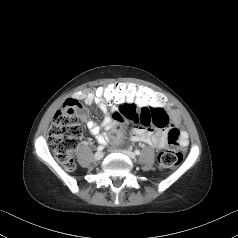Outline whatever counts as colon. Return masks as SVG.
<instances>
[{"label":"colon","instance_id":"obj_1","mask_svg":"<svg viewBox=\"0 0 238 238\" xmlns=\"http://www.w3.org/2000/svg\"><path fill=\"white\" fill-rule=\"evenodd\" d=\"M96 96L103 103L111 105L118 103L126 106L133 104L141 107V114L135 115L130 108L123 107L119 113L115 112L113 116L121 119L122 116L130 118L145 126L155 125L150 116V110L163 108L168 103V98L163 93H156L144 86L134 83H119L113 85L104 81L97 85ZM81 115V106L77 100L68 99L60 110L54 115L49 129L48 144L56 160L67 170L75 167L73 152L79 144L81 136V126L79 116ZM121 132L113 131V137L119 139ZM182 160L180 152V131L177 128H171L168 133V143L164 150L158 156V163L161 168H171L178 165Z\"/></svg>","mask_w":238,"mask_h":238}]
</instances>
